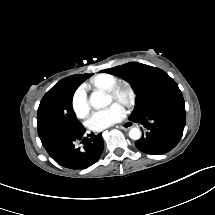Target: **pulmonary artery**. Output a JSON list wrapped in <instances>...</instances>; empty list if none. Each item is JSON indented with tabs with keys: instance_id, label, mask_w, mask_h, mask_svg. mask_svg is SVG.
I'll return each instance as SVG.
<instances>
[{
	"instance_id": "e3ab8cb5",
	"label": "pulmonary artery",
	"mask_w": 215,
	"mask_h": 215,
	"mask_svg": "<svg viewBox=\"0 0 215 215\" xmlns=\"http://www.w3.org/2000/svg\"><path fill=\"white\" fill-rule=\"evenodd\" d=\"M114 83V78L110 74H102L99 76H96L92 80V85L96 89H105L107 87L112 86Z\"/></svg>"
}]
</instances>
